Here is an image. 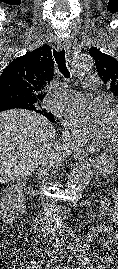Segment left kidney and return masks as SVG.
Instances as JSON below:
<instances>
[{
    "instance_id": "left-kidney-1",
    "label": "left kidney",
    "mask_w": 118,
    "mask_h": 269,
    "mask_svg": "<svg viewBox=\"0 0 118 269\" xmlns=\"http://www.w3.org/2000/svg\"><path fill=\"white\" fill-rule=\"evenodd\" d=\"M100 204H101L100 209H99L100 215L105 217L108 214V206L110 204L106 196L103 195V197L100 200Z\"/></svg>"
}]
</instances>
